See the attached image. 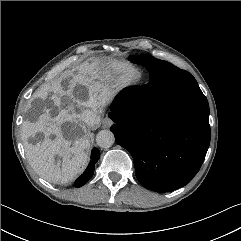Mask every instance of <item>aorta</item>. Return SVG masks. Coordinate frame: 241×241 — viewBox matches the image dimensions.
<instances>
[{
  "label": "aorta",
  "mask_w": 241,
  "mask_h": 241,
  "mask_svg": "<svg viewBox=\"0 0 241 241\" xmlns=\"http://www.w3.org/2000/svg\"><path fill=\"white\" fill-rule=\"evenodd\" d=\"M115 137L110 130H101L96 136V143L101 148H109L114 144Z\"/></svg>",
  "instance_id": "1"
}]
</instances>
